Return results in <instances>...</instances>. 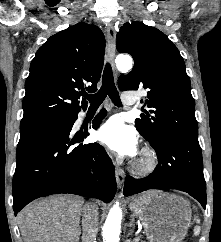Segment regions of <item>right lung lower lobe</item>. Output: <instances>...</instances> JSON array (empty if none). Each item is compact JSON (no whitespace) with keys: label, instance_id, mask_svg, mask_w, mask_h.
Masks as SVG:
<instances>
[{"label":"right lung lower lobe","instance_id":"1","mask_svg":"<svg viewBox=\"0 0 221 242\" xmlns=\"http://www.w3.org/2000/svg\"><path fill=\"white\" fill-rule=\"evenodd\" d=\"M97 116L96 128L105 117ZM78 112L20 127L13 178L15 215L28 203L70 193L110 202L116 193L114 166L98 143L82 144L87 131L72 133ZM80 143L79 145H77Z\"/></svg>","mask_w":221,"mask_h":242}]
</instances>
